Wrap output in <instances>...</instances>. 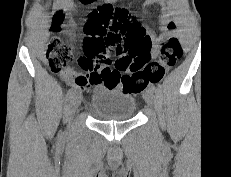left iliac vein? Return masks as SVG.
Returning <instances> with one entry per match:
<instances>
[{"instance_id": "4c4485c4", "label": "left iliac vein", "mask_w": 231, "mask_h": 177, "mask_svg": "<svg viewBox=\"0 0 231 177\" xmlns=\"http://www.w3.org/2000/svg\"><path fill=\"white\" fill-rule=\"evenodd\" d=\"M143 98H144V100H145V102L147 103L148 106L153 107V105H154V93L150 88H148L144 92Z\"/></svg>"}]
</instances>
